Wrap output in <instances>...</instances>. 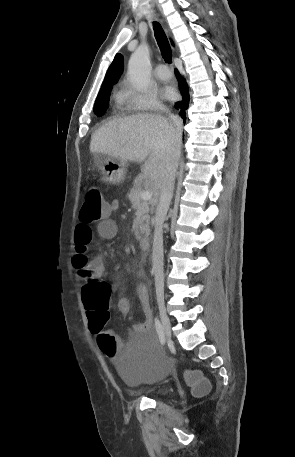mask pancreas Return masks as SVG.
Listing matches in <instances>:
<instances>
[{
    "label": "pancreas",
    "mask_w": 295,
    "mask_h": 457,
    "mask_svg": "<svg viewBox=\"0 0 295 457\" xmlns=\"http://www.w3.org/2000/svg\"><path fill=\"white\" fill-rule=\"evenodd\" d=\"M143 189L140 185L134 186L128 194V199L132 204V208L136 210L135 218L133 220L134 235L137 238H141L144 234L150 233V215L149 212H153L152 202L143 200L141 194Z\"/></svg>",
    "instance_id": "obj_1"
}]
</instances>
